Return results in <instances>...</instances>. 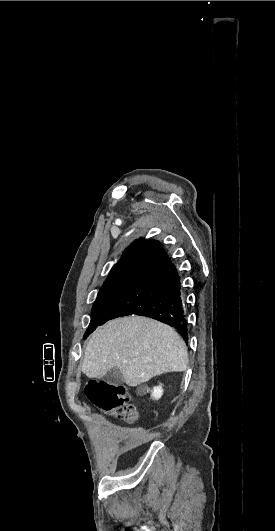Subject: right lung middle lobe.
<instances>
[{
  "label": "right lung middle lobe",
  "mask_w": 275,
  "mask_h": 531,
  "mask_svg": "<svg viewBox=\"0 0 275 531\" xmlns=\"http://www.w3.org/2000/svg\"><path fill=\"white\" fill-rule=\"evenodd\" d=\"M145 269H132L109 275L93 305L91 321L84 339L99 326L110 307L134 284Z\"/></svg>",
  "instance_id": "obj_1"
}]
</instances>
